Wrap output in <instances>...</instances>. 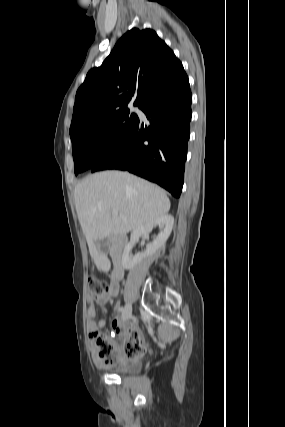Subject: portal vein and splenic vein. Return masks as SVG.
Wrapping results in <instances>:
<instances>
[{
  "instance_id": "18ae733b",
  "label": "portal vein and splenic vein",
  "mask_w": 285,
  "mask_h": 427,
  "mask_svg": "<svg viewBox=\"0 0 285 427\" xmlns=\"http://www.w3.org/2000/svg\"><path fill=\"white\" fill-rule=\"evenodd\" d=\"M112 216H118V212L116 210L112 211Z\"/></svg>"
}]
</instances>
